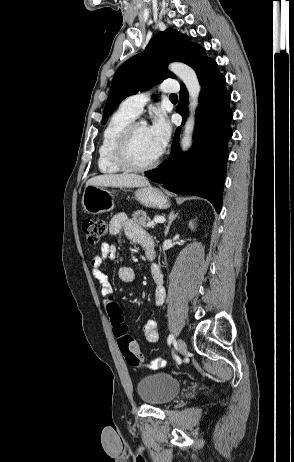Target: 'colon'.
<instances>
[{
  "instance_id": "colon-1",
  "label": "colon",
  "mask_w": 294,
  "mask_h": 462,
  "mask_svg": "<svg viewBox=\"0 0 294 462\" xmlns=\"http://www.w3.org/2000/svg\"><path fill=\"white\" fill-rule=\"evenodd\" d=\"M82 230L90 245H97L107 233V224L102 219H84ZM111 321L113 334L117 339L118 346L129 366L134 369L143 367L144 359L139 352L138 346L132 336L128 334L127 326L124 323L122 311L118 304L111 298L105 305Z\"/></svg>"
}]
</instances>
